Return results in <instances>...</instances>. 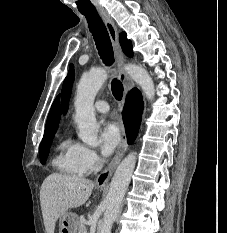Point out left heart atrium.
Masks as SVG:
<instances>
[{"mask_svg": "<svg viewBox=\"0 0 227 233\" xmlns=\"http://www.w3.org/2000/svg\"><path fill=\"white\" fill-rule=\"evenodd\" d=\"M101 152L104 156L111 155L121 142V132L115 122L106 123L100 133Z\"/></svg>", "mask_w": 227, "mask_h": 233, "instance_id": "obj_1", "label": "left heart atrium"}]
</instances>
